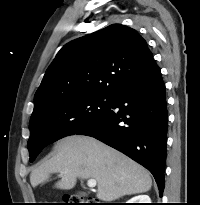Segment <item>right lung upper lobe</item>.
I'll list each match as a JSON object with an SVG mask.
<instances>
[{"label":"right lung upper lobe","instance_id":"right-lung-upper-lobe-1","mask_svg":"<svg viewBox=\"0 0 200 205\" xmlns=\"http://www.w3.org/2000/svg\"><path fill=\"white\" fill-rule=\"evenodd\" d=\"M155 63L146 41L121 24L67 43L47 69L31 117L57 102L87 95L111 96Z\"/></svg>","mask_w":200,"mask_h":205}]
</instances>
